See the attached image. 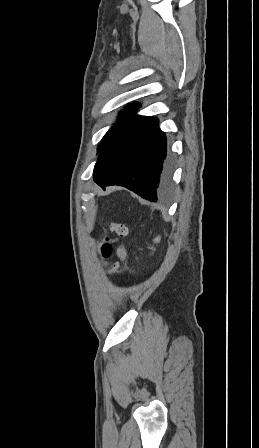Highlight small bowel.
<instances>
[{
	"label": "small bowel",
	"mask_w": 259,
	"mask_h": 448,
	"mask_svg": "<svg viewBox=\"0 0 259 448\" xmlns=\"http://www.w3.org/2000/svg\"><path fill=\"white\" fill-rule=\"evenodd\" d=\"M117 255L121 260H125L127 257V252L123 247H119L117 250Z\"/></svg>",
	"instance_id": "small-bowel-1"
}]
</instances>
